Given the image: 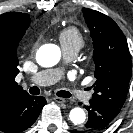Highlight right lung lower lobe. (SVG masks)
<instances>
[{
  "mask_svg": "<svg viewBox=\"0 0 133 133\" xmlns=\"http://www.w3.org/2000/svg\"><path fill=\"white\" fill-rule=\"evenodd\" d=\"M45 104L44 97L26 94L16 98L0 116V131L19 133L28 129L36 121Z\"/></svg>",
  "mask_w": 133,
  "mask_h": 133,
  "instance_id": "right-lung-lower-lobe-1",
  "label": "right lung lower lobe"
}]
</instances>
